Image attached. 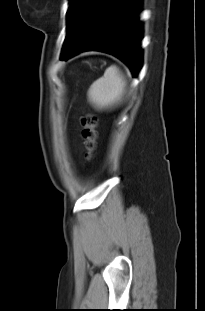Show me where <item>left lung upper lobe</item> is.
<instances>
[{
    "mask_svg": "<svg viewBox=\"0 0 205 311\" xmlns=\"http://www.w3.org/2000/svg\"><path fill=\"white\" fill-rule=\"evenodd\" d=\"M119 0H70L63 52L76 47L111 12Z\"/></svg>",
    "mask_w": 205,
    "mask_h": 311,
    "instance_id": "left-lung-upper-lobe-1",
    "label": "left lung upper lobe"
}]
</instances>
